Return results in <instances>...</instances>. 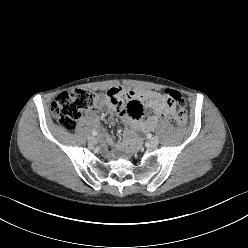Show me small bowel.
<instances>
[{
    "instance_id": "obj_1",
    "label": "small bowel",
    "mask_w": 248,
    "mask_h": 248,
    "mask_svg": "<svg viewBox=\"0 0 248 248\" xmlns=\"http://www.w3.org/2000/svg\"><path fill=\"white\" fill-rule=\"evenodd\" d=\"M143 107L153 110V115L146 120L142 119ZM96 108L117 111L127 124L142 131L153 129L160 120L170 118L173 113L164 94L121 87H111L106 95L99 97Z\"/></svg>"
}]
</instances>
